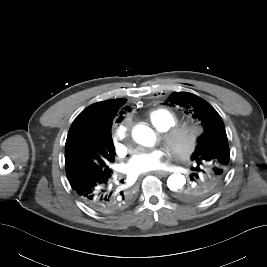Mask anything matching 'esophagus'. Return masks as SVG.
I'll use <instances>...</instances> for the list:
<instances>
[{
	"label": "esophagus",
	"instance_id": "esophagus-1",
	"mask_svg": "<svg viewBox=\"0 0 267 267\" xmlns=\"http://www.w3.org/2000/svg\"><path fill=\"white\" fill-rule=\"evenodd\" d=\"M152 173L156 174V175H159V176H163V177H166V176H168L170 174V172H168V171H160V170L154 171Z\"/></svg>",
	"mask_w": 267,
	"mask_h": 267
}]
</instances>
